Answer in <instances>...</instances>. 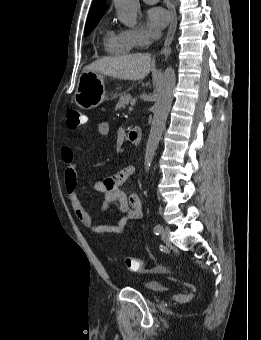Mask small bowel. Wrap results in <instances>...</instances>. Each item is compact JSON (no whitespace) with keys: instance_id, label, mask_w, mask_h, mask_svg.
Here are the masks:
<instances>
[{"instance_id":"obj_1","label":"small bowel","mask_w":261,"mask_h":340,"mask_svg":"<svg viewBox=\"0 0 261 340\" xmlns=\"http://www.w3.org/2000/svg\"><path fill=\"white\" fill-rule=\"evenodd\" d=\"M109 131L110 126L107 122L98 124L97 133L100 136H107ZM61 158L66 164L65 184L70 206L79 222L87 230L96 235L105 233L119 234L132 221L139 220L142 217V203L139 196L137 194L127 195L121 188L128 178L134 174L135 168L133 166H127L104 180L94 183V189L103 195L102 210H106L111 203H116L119 211L123 214L122 218L115 224H96L93 218L84 210L79 200L76 165L73 150L70 146L62 147Z\"/></svg>"}]
</instances>
